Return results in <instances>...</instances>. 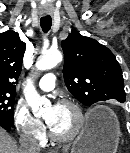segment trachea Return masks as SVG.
Returning <instances> with one entry per match:
<instances>
[{"instance_id":"1","label":"trachea","mask_w":130,"mask_h":153,"mask_svg":"<svg viewBox=\"0 0 130 153\" xmlns=\"http://www.w3.org/2000/svg\"><path fill=\"white\" fill-rule=\"evenodd\" d=\"M40 25H41V28L42 30L47 33L51 26H52V19L50 16H45V17H42L41 20H40Z\"/></svg>"}]
</instances>
